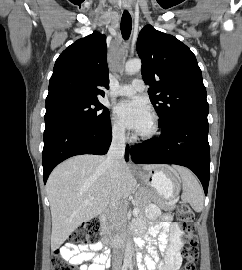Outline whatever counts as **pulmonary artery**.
I'll list each match as a JSON object with an SVG mask.
<instances>
[{"label": "pulmonary artery", "instance_id": "e3ab8cb5", "mask_svg": "<svg viewBox=\"0 0 242 270\" xmlns=\"http://www.w3.org/2000/svg\"><path fill=\"white\" fill-rule=\"evenodd\" d=\"M145 88L144 81L142 79H134L131 84L119 86L114 94L118 96H130L137 92L143 91Z\"/></svg>", "mask_w": 242, "mask_h": 270}]
</instances>
